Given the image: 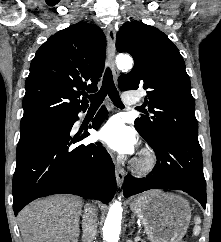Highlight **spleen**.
Wrapping results in <instances>:
<instances>
[{
  "mask_svg": "<svg viewBox=\"0 0 221 242\" xmlns=\"http://www.w3.org/2000/svg\"><path fill=\"white\" fill-rule=\"evenodd\" d=\"M200 222H201L200 218L197 217L196 220H195L196 226L194 227V234L195 235H198L199 234V227L197 225L200 224Z\"/></svg>",
  "mask_w": 221,
  "mask_h": 242,
  "instance_id": "3e777b00",
  "label": "spleen"
}]
</instances>
